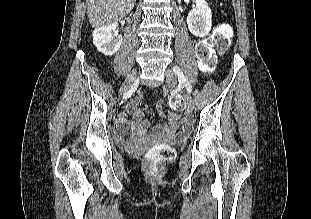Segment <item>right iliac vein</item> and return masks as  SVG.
Returning <instances> with one entry per match:
<instances>
[{"instance_id":"63e3f726","label":"right iliac vein","mask_w":311,"mask_h":219,"mask_svg":"<svg viewBox=\"0 0 311 219\" xmlns=\"http://www.w3.org/2000/svg\"><path fill=\"white\" fill-rule=\"evenodd\" d=\"M136 71H133L125 80L124 84L122 85V88L120 90V94L126 92L130 86L132 85V83L134 82L135 78H136Z\"/></svg>"}]
</instances>
